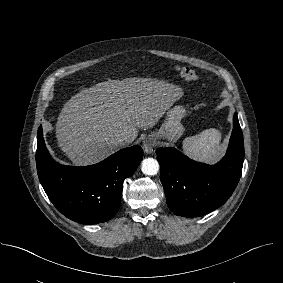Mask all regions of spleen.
I'll return each mask as SVG.
<instances>
[{"label": "spleen", "mask_w": 283, "mask_h": 283, "mask_svg": "<svg viewBox=\"0 0 283 283\" xmlns=\"http://www.w3.org/2000/svg\"><path fill=\"white\" fill-rule=\"evenodd\" d=\"M221 132L210 128L201 133L190 136L183 141V150L191 158L213 163L219 156Z\"/></svg>", "instance_id": "1"}]
</instances>
